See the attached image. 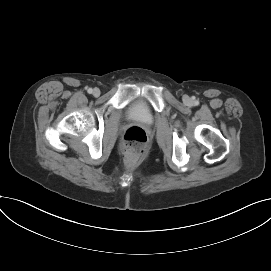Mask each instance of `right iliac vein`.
Segmentation results:
<instances>
[{
	"label": "right iliac vein",
	"instance_id": "63e3f726",
	"mask_svg": "<svg viewBox=\"0 0 271 271\" xmlns=\"http://www.w3.org/2000/svg\"><path fill=\"white\" fill-rule=\"evenodd\" d=\"M92 93L95 97H98L100 95V90L98 88H95Z\"/></svg>",
	"mask_w": 271,
	"mask_h": 271
}]
</instances>
